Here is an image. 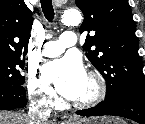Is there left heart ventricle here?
I'll use <instances>...</instances> for the list:
<instances>
[{
	"mask_svg": "<svg viewBox=\"0 0 145 124\" xmlns=\"http://www.w3.org/2000/svg\"><path fill=\"white\" fill-rule=\"evenodd\" d=\"M95 92H96V83L88 76H86V79L82 84L77 96L72 100L75 102L88 100L94 96Z\"/></svg>",
	"mask_w": 145,
	"mask_h": 124,
	"instance_id": "left-heart-ventricle-1",
	"label": "left heart ventricle"
}]
</instances>
